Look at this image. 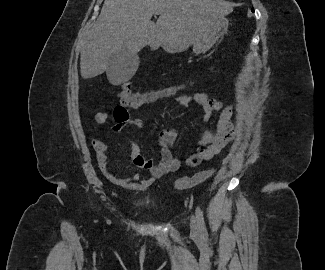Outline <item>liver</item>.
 <instances>
[{"label": "liver", "mask_w": 325, "mask_h": 270, "mask_svg": "<svg viewBox=\"0 0 325 270\" xmlns=\"http://www.w3.org/2000/svg\"><path fill=\"white\" fill-rule=\"evenodd\" d=\"M232 10L223 0H105L81 48V77L107 72L111 56L124 49L137 54L150 45L162 46L169 53L182 52L198 41L213 20ZM155 14L159 15L156 23L151 21ZM130 78L110 76L108 80L120 85Z\"/></svg>", "instance_id": "1"}]
</instances>
